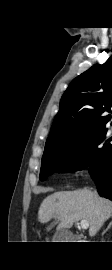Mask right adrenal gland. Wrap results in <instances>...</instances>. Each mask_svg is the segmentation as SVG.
Segmentation results:
<instances>
[{
	"instance_id": "2a0ac1e0",
	"label": "right adrenal gland",
	"mask_w": 112,
	"mask_h": 270,
	"mask_svg": "<svg viewBox=\"0 0 112 270\" xmlns=\"http://www.w3.org/2000/svg\"><path fill=\"white\" fill-rule=\"evenodd\" d=\"M112 227V220L109 223L108 227L106 228V230L103 231L102 235H104L110 228Z\"/></svg>"
}]
</instances>
